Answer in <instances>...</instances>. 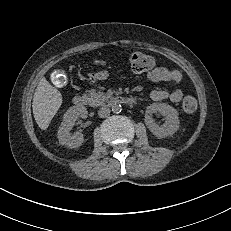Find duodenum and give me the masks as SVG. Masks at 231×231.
<instances>
[{
	"label": "duodenum",
	"mask_w": 231,
	"mask_h": 231,
	"mask_svg": "<svg viewBox=\"0 0 231 231\" xmlns=\"http://www.w3.org/2000/svg\"><path fill=\"white\" fill-rule=\"evenodd\" d=\"M73 102L77 107H84L88 105L89 99L86 96L78 95L74 97ZM112 102L131 105L136 102V99L131 96H117L112 99Z\"/></svg>",
	"instance_id": "410a0bca"
}]
</instances>
